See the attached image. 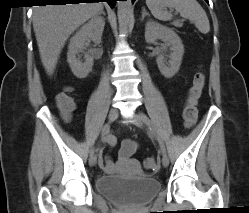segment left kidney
<instances>
[{
    "mask_svg": "<svg viewBox=\"0 0 249 213\" xmlns=\"http://www.w3.org/2000/svg\"><path fill=\"white\" fill-rule=\"evenodd\" d=\"M161 39L164 42V48L170 46L171 54L167 62L164 55H159L156 59L158 68L165 78H172L180 69L184 46L180 37L173 29L161 25L154 21H148L145 26V40L153 43Z\"/></svg>",
    "mask_w": 249,
    "mask_h": 213,
    "instance_id": "left-kidney-1",
    "label": "left kidney"
}]
</instances>
